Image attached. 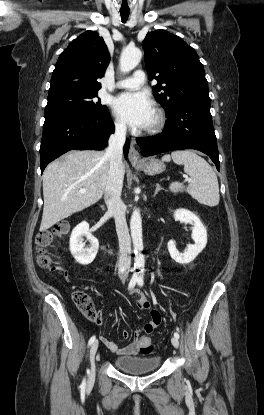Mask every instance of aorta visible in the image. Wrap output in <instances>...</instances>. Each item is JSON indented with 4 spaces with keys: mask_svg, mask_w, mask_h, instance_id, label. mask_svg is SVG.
<instances>
[{
    "mask_svg": "<svg viewBox=\"0 0 264 415\" xmlns=\"http://www.w3.org/2000/svg\"><path fill=\"white\" fill-rule=\"evenodd\" d=\"M141 57L142 52L138 48H127L123 50L120 56V70L124 73L131 71L139 64ZM130 230L135 253L134 266L137 268H143L145 265V258L142 254V219L138 210H134L132 213Z\"/></svg>",
    "mask_w": 264,
    "mask_h": 415,
    "instance_id": "1",
    "label": "aorta"
}]
</instances>
